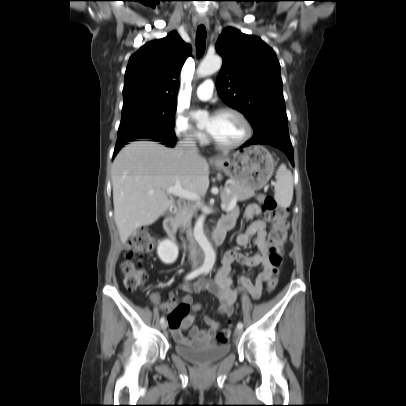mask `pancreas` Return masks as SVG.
I'll return each mask as SVG.
<instances>
[{"label": "pancreas", "mask_w": 406, "mask_h": 406, "mask_svg": "<svg viewBox=\"0 0 406 406\" xmlns=\"http://www.w3.org/2000/svg\"><path fill=\"white\" fill-rule=\"evenodd\" d=\"M253 196H255V192L253 190L246 189L237 183H231L226 189L221 191V201L222 204L226 206L230 204L233 198H236L237 201H245ZM196 210V205L190 209H184L181 213L182 221L184 220V216L187 211H190V213L193 214Z\"/></svg>", "instance_id": "obj_1"}]
</instances>
